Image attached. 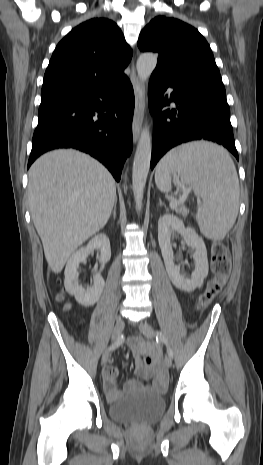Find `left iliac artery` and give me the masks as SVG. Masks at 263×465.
Masks as SVG:
<instances>
[{
  "label": "left iliac artery",
  "instance_id": "obj_1",
  "mask_svg": "<svg viewBox=\"0 0 263 465\" xmlns=\"http://www.w3.org/2000/svg\"><path fill=\"white\" fill-rule=\"evenodd\" d=\"M156 341L164 343L166 345L168 355L173 358V350L168 342V339L161 331L156 332Z\"/></svg>",
  "mask_w": 263,
  "mask_h": 465
}]
</instances>
